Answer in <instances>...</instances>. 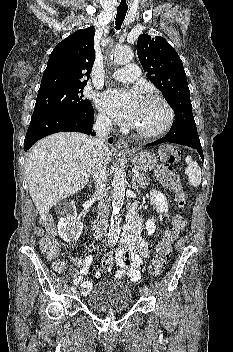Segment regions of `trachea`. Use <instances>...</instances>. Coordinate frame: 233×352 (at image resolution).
Instances as JSON below:
<instances>
[{"mask_svg": "<svg viewBox=\"0 0 233 352\" xmlns=\"http://www.w3.org/2000/svg\"><path fill=\"white\" fill-rule=\"evenodd\" d=\"M128 8H117V15H116V22H115V28L116 30H119L121 28V25L125 19L126 13H127Z\"/></svg>", "mask_w": 233, "mask_h": 352, "instance_id": "3493384b", "label": "trachea"}]
</instances>
